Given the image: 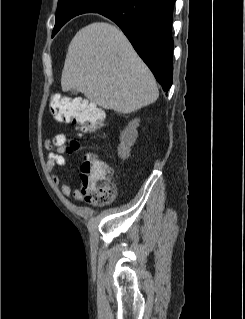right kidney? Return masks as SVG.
Returning a JSON list of instances; mask_svg holds the SVG:
<instances>
[{
    "label": "right kidney",
    "mask_w": 245,
    "mask_h": 319,
    "mask_svg": "<svg viewBox=\"0 0 245 319\" xmlns=\"http://www.w3.org/2000/svg\"><path fill=\"white\" fill-rule=\"evenodd\" d=\"M139 119L131 121L125 130L121 133L120 145L118 146V155L121 159H126L130 155L131 147L135 143L138 132Z\"/></svg>",
    "instance_id": "right-kidney-1"
}]
</instances>
